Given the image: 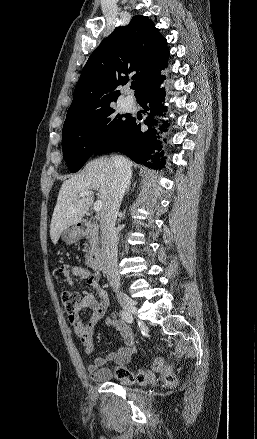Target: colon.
Wrapping results in <instances>:
<instances>
[{"label":"colon","instance_id":"obj_1","mask_svg":"<svg viewBox=\"0 0 257 439\" xmlns=\"http://www.w3.org/2000/svg\"><path fill=\"white\" fill-rule=\"evenodd\" d=\"M63 305L68 313L74 311L76 305L80 301V295L77 292L63 289L60 293ZM116 378L124 384L138 383L141 385L149 384L153 380V375L149 371L140 370L132 372L126 367H120L115 372ZM165 380L168 384L174 383V376L171 373L165 375Z\"/></svg>","mask_w":257,"mask_h":439}]
</instances>
